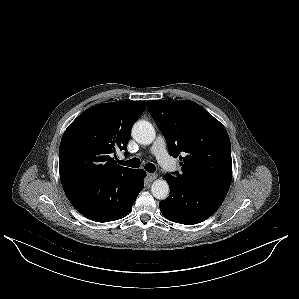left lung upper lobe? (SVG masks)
<instances>
[{"mask_svg":"<svg viewBox=\"0 0 299 299\" xmlns=\"http://www.w3.org/2000/svg\"><path fill=\"white\" fill-rule=\"evenodd\" d=\"M147 108L182 162L180 181H209L230 186L231 143L225 127L195 102L148 101ZM182 155V156H181Z\"/></svg>","mask_w":299,"mask_h":299,"instance_id":"obj_1","label":"left lung upper lobe"}]
</instances>
